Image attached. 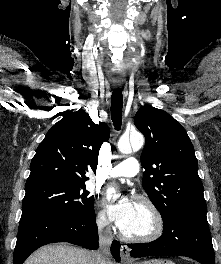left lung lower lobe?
<instances>
[{
  "label": "left lung lower lobe",
  "mask_w": 221,
  "mask_h": 264,
  "mask_svg": "<svg viewBox=\"0 0 221 264\" xmlns=\"http://www.w3.org/2000/svg\"><path fill=\"white\" fill-rule=\"evenodd\" d=\"M163 223V234L157 240L128 244L132 257L181 255L201 264H214L215 254L206 216H172Z\"/></svg>",
  "instance_id": "1"
}]
</instances>
